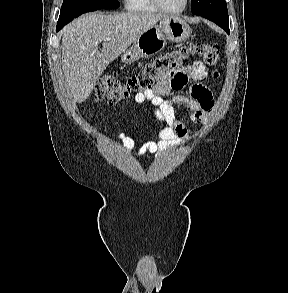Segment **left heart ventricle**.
I'll return each instance as SVG.
<instances>
[{
  "instance_id": "left-heart-ventricle-1",
  "label": "left heart ventricle",
  "mask_w": 288,
  "mask_h": 293,
  "mask_svg": "<svg viewBox=\"0 0 288 293\" xmlns=\"http://www.w3.org/2000/svg\"><path fill=\"white\" fill-rule=\"evenodd\" d=\"M162 4L169 9H178L182 6L184 0H160Z\"/></svg>"
}]
</instances>
